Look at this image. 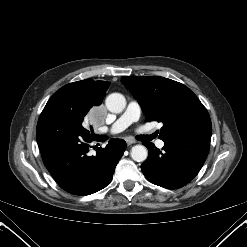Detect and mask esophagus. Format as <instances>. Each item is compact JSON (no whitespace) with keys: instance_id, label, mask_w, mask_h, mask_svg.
Returning a JSON list of instances; mask_svg holds the SVG:
<instances>
[{"instance_id":"obj_1","label":"esophagus","mask_w":247,"mask_h":247,"mask_svg":"<svg viewBox=\"0 0 247 247\" xmlns=\"http://www.w3.org/2000/svg\"><path fill=\"white\" fill-rule=\"evenodd\" d=\"M126 143H127V145H132V144L136 143V141L132 138H127Z\"/></svg>"}]
</instances>
